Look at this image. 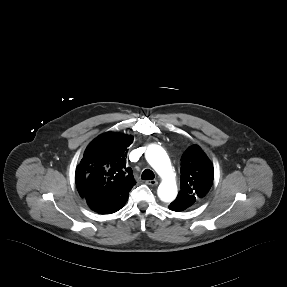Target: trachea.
I'll return each mask as SVG.
<instances>
[{
  "label": "trachea",
  "instance_id": "3493384b",
  "mask_svg": "<svg viewBox=\"0 0 287 287\" xmlns=\"http://www.w3.org/2000/svg\"><path fill=\"white\" fill-rule=\"evenodd\" d=\"M155 177L154 173L150 169H145L142 173L141 179L142 180H153Z\"/></svg>",
  "mask_w": 287,
  "mask_h": 287
}]
</instances>
